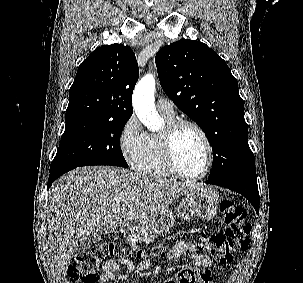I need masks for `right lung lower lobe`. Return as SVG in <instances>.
<instances>
[{
  "label": "right lung lower lobe",
  "instance_id": "right-lung-lower-lobe-1",
  "mask_svg": "<svg viewBox=\"0 0 303 283\" xmlns=\"http://www.w3.org/2000/svg\"><path fill=\"white\" fill-rule=\"evenodd\" d=\"M70 170H55V171H50L49 174V179H48V189L50 188V186L52 185V183L62 174L68 172Z\"/></svg>",
  "mask_w": 303,
  "mask_h": 283
}]
</instances>
